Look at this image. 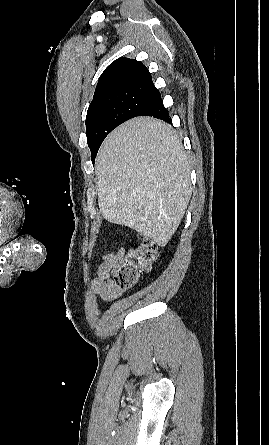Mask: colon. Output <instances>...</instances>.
Segmentation results:
<instances>
[{
    "mask_svg": "<svg viewBox=\"0 0 269 445\" xmlns=\"http://www.w3.org/2000/svg\"><path fill=\"white\" fill-rule=\"evenodd\" d=\"M158 257V247L148 238L141 237L139 244L130 248L113 270L116 287L128 289L133 287L141 270L148 269Z\"/></svg>",
    "mask_w": 269,
    "mask_h": 445,
    "instance_id": "obj_1",
    "label": "colon"
}]
</instances>
